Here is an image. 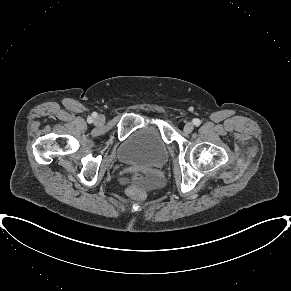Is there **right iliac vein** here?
<instances>
[{
  "instance_id": "obj_1",
  "label": "right iliac vein",
  "mask_w": 291,
  "mask_h": 291,
  "mask_svg": "<svg viewBox=\"0 0 291 291\" xmlns=\"http://www.w3.org/2000/svg\"><path fill=\"white\" fill-rule=\"evenodd\" d=\"M105 119L103 116L99 115L96 119H95V122L96 124L98 125H102L104 123Z\"/></svg>"
}]
</instances>
